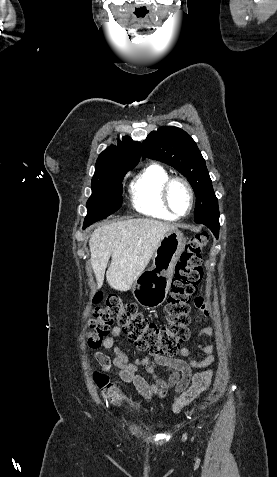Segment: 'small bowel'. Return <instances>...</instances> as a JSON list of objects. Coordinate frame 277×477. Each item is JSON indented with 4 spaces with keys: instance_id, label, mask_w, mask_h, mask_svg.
<instances>
[{
    "instance_id": "1",
    "label": "small bowel",
    "mask_w": 277,
    "mask_h": 477,
    "mask_svg": "<svg viewBox=\"0 0 277 477\" xmlns=\"http://www.w3.org/2000/svg\"><path fill=\"white\" fill-rule=\"evenodd\" d=\"M194 303L203 310L205 315L210 314L205 296L196 297ZM121 333L122 329L115 326L101 345L105 349H113L112 363L118 369L120 379L133 384L139 394L146 399H151L153 396L163 397L171 390L176 393L183 392L191 380L192 369L206 368L215 360V346L202 343L199 344V349L206 355L202 360L194 359L187 348L179 350V354L187 360L163 355H156L154 360H151L148 356L131 359L123 350L115 346V340ZM214 336L215 331L210 327L203 328L199 333L200 338ZM95 358L102 366L109 367L110 359L103 353L96 352ZM158 367H163L169 372L167 381L157 375ZM142 368L145 371L144 374L139 373ZM149 376L153 378V381L148 379Z\"/></svg>"
}]
</instances>
